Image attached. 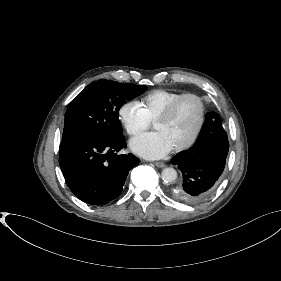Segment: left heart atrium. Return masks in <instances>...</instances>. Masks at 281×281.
I'll use <instances>...</instances> for the list:
<instances>
[{"mask_svg": "<svg viewBox=\"0 0 281 281\" xmlns=\"http://www.w3.org/2000/svg\"><path fill=\"white\" fill-rule=\"evenodd\" d=\"M130 147L133 152L148 159L162 158L172 150L170 143L157 131L144 133L132 139Z\"/></svg>", "mask_w": 281, "mask_h": 281, "instance_id": "39dd6f15", "label": "left heart atrium"}]
</instances>
